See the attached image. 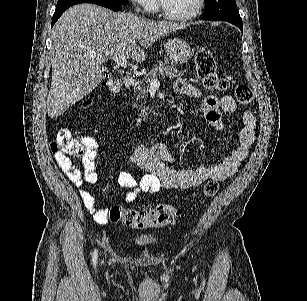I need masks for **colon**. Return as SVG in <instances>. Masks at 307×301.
Instances as JSON below:
<instances>
[{"instance_id": "5ec220e1", "label": "colon", "mask_w": 307, "mask_h": 301, "mask_svg": "<svg viewBox=\"0 0 307 301\" xmlns=\"http://www.w3.org/2000/svg\"><path fill=\"white\" fill-rule=\"evenodd\" d=\"M195 67L204 87L218 91H225L231 87L229 78L217 74L215 59L208 49L199 48L197 50ZM120 86L119 80H109L105 84V87L113 93L119 92ZM234 92L241 105H250L254 101L253 91L247 85H236ZM51 147L53 152H61L75 157L83 155L85 150L82 138L76 136L70 129L59 131ZM218 189V182L209 180L203 186V195L211 198L217 194ZM178 216V210L169 204H160L147 210L128 209L121 206H113L109 210V220L112 223H122L135 229L163 227L174 223Z\"/></svg>"}]
</instances>
